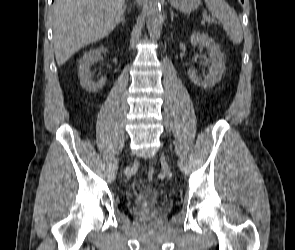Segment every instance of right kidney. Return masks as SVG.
<instances>
[{"label":"right kidney","mask_w":295,"mask_h":250,"mask_svg":"<svg viewBox=\"0 0 295 250\" xmlns=\"http://www.w3.org/2000/svg\"><path fill=\"white\" fill-rule=\"evenodd\" d=\"M103 52H107L106 48L93 49L86 52L79 63V78L81 86L89 91L96 93L103 88L106 83V77L95 82L92 80L91 66L97 62Z\"/></svg>","instance_id":"obj_1"}]
</instances>
